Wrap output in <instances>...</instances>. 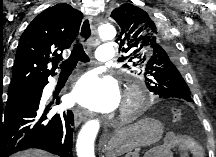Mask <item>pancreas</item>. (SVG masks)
Masks as SVG:
<instances>
[{
  "instance_id": "pancreas-1",
  "label": "pancreas",
  "mask_w": 216,
  "mask_h": 157,
  "mask_svg": "<svg viewBox=\"0 0 216 157\" xmlns=\"http://www.w3.org/2000/svg\"><path fill=\"white\" fill-rule=\"evenodd\" d=\"M127 157H139V153H138V151H136V152H134V153L128 154Z\"/></svg>"
}]
</instances>
